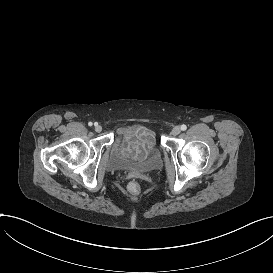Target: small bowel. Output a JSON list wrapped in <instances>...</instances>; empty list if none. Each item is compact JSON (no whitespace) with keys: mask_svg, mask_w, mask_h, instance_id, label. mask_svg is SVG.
I'll list each match as a JSON object with an SVG mask.
<instances>
[{"mask_svg":"<svg viewBox=\"0 0 273 273\" xmlns=\"http://www.w3.org/2000/svg\"><path fill=\"white\" fill-rule=\"evenodd\" d=\"M133 136H135V138L131 140V142H128V139H130V133H123L121 144L123 151H129L139 158H144L147 155L154 154L153 136L150 131L138 129Z\"/></svg>","mask_w":273,"mask_h":273,"instance_id":"c3829d8e","label":"small bowel"}]
</instances>
